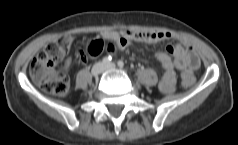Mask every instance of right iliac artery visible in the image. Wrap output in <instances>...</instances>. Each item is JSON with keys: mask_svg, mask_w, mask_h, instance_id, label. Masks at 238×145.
<instances>
[{"mask_svg": "<svg viewBox=\"0 0 238 145\" xmlns=\"http://www.w3.org/2000/svg\"><path fill=\"white\" fill-rule=\"evenodd\" d=\"M102 61H103L104 64H109L112 61V57L111 56H106V57L103 58Z\"/></svg>", "mask_w": 238, "mask_h": 145, "instance_id": "obj_1", "label": "right iliac artery"}]
</instances>
